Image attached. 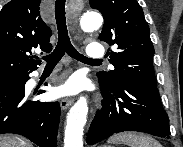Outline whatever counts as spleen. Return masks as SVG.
<instances>
[{"instance_id":"3e777b00","label":"spleen","mask_w":183,"mask_h":147,"mask_svg":"<svg viewBox=\"0 0 183 147\" xmlns=\"http://www.w3.org/2000/svg\"><path fill=\"white\" fill-rule=\"evenodd\" d=\"M108 143H124L129 147H162L161 144L152 137L133 132L116 134L108 140Z\"/></svg>"}]
</instances>
